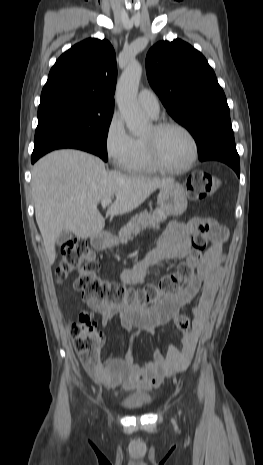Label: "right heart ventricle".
I'll use <instances>...</instances> for the list:
<instances>
[{
	"instance_id": "1",
	"label": "right heart ventricle",
	"mask_w": 263,
	"mask_h": 465,
	"mask_svg": "<svg viewBox=\"0 0 263 465\" xmlns=\"http://www.w3.org/2000/svg\"><path fill=\"white\" fill-rule=\"evenodd\" d=\"M127 169L134 173H150L157 170L149 161L140 137H134V154Z\"/></svg>"
}]
</instances>
